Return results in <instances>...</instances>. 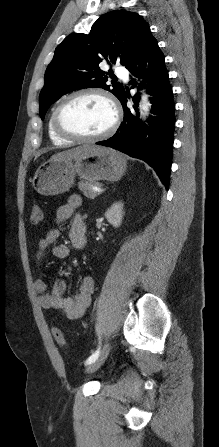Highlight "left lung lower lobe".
<instances>
[{
	"label": "left lung lower lobe",
	"instance_id": "obj_1",
	"mask_svg": "<svg viewBox=\"0 0 219 447\" xmlns=\"http://www.w3.org/2000/svg\"><path fill=\"white\" fill-rule=\"evenodd\" d=\"M125 67L133 76L142 78L147 83L145 87L152 96L150 99L153 115L149 117L148 125L142 124L137 107L130 110L126 106L128 93L125 92L120 100L124 110L122 125L113 137L96 144L112 147L145 161L154 168L168 189L173 154L175 105L165 57L152 34ZM133 101L138 105V95L133 97Z\"/></svg>",
	"mask_w": 219,
	"mask_h": 447
}]
</instances>
